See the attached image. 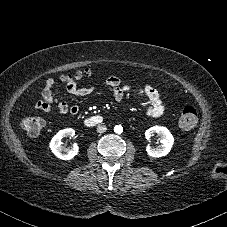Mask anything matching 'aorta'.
<instances>
[{
  "label": "aorta",
  "instance_id": "obj_1",
  "mask_svg": "<svg viewBox=\"0 0 227 227\" xmlns=\"http://www.w3.org/2000/svg\"><path fill=\"white\" fill-rule=\"evenodd\" d=\"M114 132L117 134H121L123 132V127L121 125H116L114 127Z\"/></svg>",
  "mask_w": 227,
  "mask_h": 227
}]
</instances>
